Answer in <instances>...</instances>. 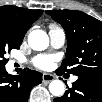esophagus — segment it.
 Instances as JSON below:
<instances>
[{"mask_svg": "<svg viewBox=\"0 0 102 102\" xmlns=\"http://www.w3.org/2000/svg\"><path fill=\"white\" fill-rule=\"evenodd\" d=\"M54 79H55V76L52 74H48V73L43 74V83L44 84H48Z\"/></svg>", "mask_w": 102, "mask_h": 102, "instance_id": "obj_1", "label": "esophagus"}]
</instances>
